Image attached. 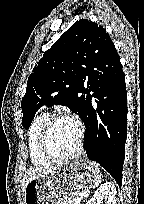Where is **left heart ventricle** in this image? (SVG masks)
<instances>
[{
	"mask_svg": "<svg viewBox=\"0 0 144 204\" xmlns=\"http://www.w3.org/2000/svg\"><path fill=\"white\" fill-rule=\"evenodd\" d=\"M78 142V128L70 119H59L53 124L48 138L51 151L56 155L72 153Z\"/></svg>",
	"mask_w": 144,
	"mask_h": 204,
	"instance_id": "obj_1",
	"label": "left heart ventricle"
}]
</instances>
